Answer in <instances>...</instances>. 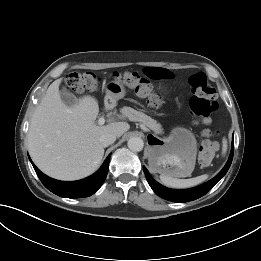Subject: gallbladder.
I'll use <instances>...</instances> for the list:
<instances>
[{
  "mask_svg": "<svg viewBox=\"0 0 261 261\" xmlns=\"http://www.w3.org/2000/svg\"><path fill=\"white\" fill-rule=\"evenodd\" d=\"M61 94H62L61 99L66 106L73 107L77 103L76 98L67 90H63Z\"/></svg>",
  "mask_w": 261,
  "mask_h": 261,
  "instance_id": "obj_1",
  "label": "gallbladder"
}]
</instances>
